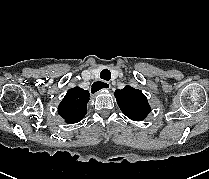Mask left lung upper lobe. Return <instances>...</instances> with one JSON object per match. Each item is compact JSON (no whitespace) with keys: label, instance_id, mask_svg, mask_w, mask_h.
Returning <instances> with one entry per match:
<instances>
[{"label":"left lung upper lobe","instance_id":"5c2ea615","mask_svg":"<svg viewBox=\"0 0 209 179\" xmlns=\"http://www.w3.org/2000/svg\"><path fill=\"white\" fill-rule=\"evenodd\" d=\"M114 96L123 114L131 120L141 121L151 111L147 98L142 91L131 86L116 90Z\"/></svg>","mask_w":209,"mask_h":179}]
</instances>
